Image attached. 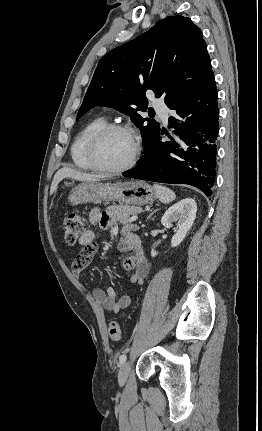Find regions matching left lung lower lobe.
Wrapping results in <instances>:
<instances>
[{"mask_svg":"<svg viewBox=\"0 0 262 431\" xmlns=\"http://www.w3.org/2000/svg\"><path fill=\"white\" fill-rule=\"evenodd\" d=\"M215 78L182 103L171 107L169 118L172 136L162 141L159 132L144 149L135 169L123 176L161 182L188 184L207 196L215 182L216 139L219 131V108Z\"/></svg>","mask_w":262,"mask_h":431,"instance_id":"0a47b994","label":"left lung lower lobe"}]
</instances>
